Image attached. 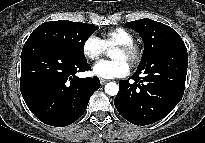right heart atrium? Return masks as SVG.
<instances>
[{
	"label": "right heart atrium",
	"instance_id": "1",
	"mask_svg": "<svg viewBox=\"0 0 205 143\" xmlns=\"http://www.w3.org/2000/svg\"><path fill=\"white\" fill-rule=\"evenodd\" d=\"M106 51L100 38L90 35L82 44L83 55L90 61L98 60Z\"/></svg>",
	"mask_w": 205,
	"mask_h": 143
}]
</instances>
